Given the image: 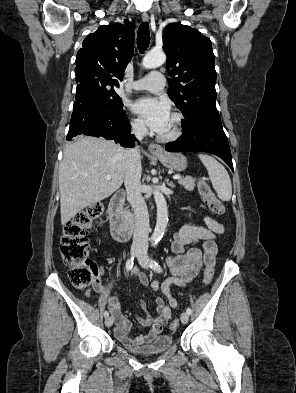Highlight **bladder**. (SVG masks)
<instances>
[{"instance_id": "bladder-1", "label": "bladder", "mask_w": 296, "mask_h": 393, "mask_svg": "<svg viewBox=\"0 0 296 393\" xmlns=\"http://www.w3.org/2000/svg\"><path fill=\"white\" fill-rule=\"evenodd\" d=\"M172 345H173V337L170 335L161 334L155 336L152 339V341L144 347L137 348V347L127 346L125 348L132 353L143 355V356H149V355L163 353L167 349H169Z\"/></svg>"}]
</instances>
